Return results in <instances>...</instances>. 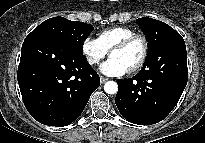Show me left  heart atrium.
<instances>
[{
	"label": "left heart atrium",
	"mask_w": 205,
	"mask_h": 143,
	"mask_svg": "<svg viewBox=\"0 0 205 143\" xmlns=\"http://www.w3.org/2000/svg\"><path fill=\"white\" fill-rule=\"evenodd\" d=\"M128 68L119 60L110 57L100 66V71L108 76H122L128 72Z\"/></svg>",
	"instance_id": "39dd6f15"
}]
</instances>
